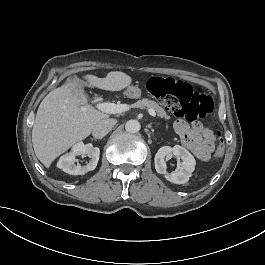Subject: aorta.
Instances as JSON below:
<instances>
[{
  "label": "aorta",
  "instance_id": "obj_1",
  "mask_svg": "<svg viewBox=\"0 0 265 265\" xmlns=\"http://www.w3.org/2000/svg\"><path fill=\"white\" fill-rule=\"evenodd\" d=\"M140 128H141V125L139 121L135 119H131L127 121L125 124L126 131L130 133H136L140 130Z\"/></svg>",
  "mask_w": 265,
  "mask_h": 265
}]
</instances>
